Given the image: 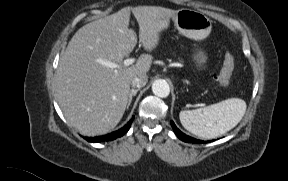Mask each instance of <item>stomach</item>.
<instances>
[{
  "mask_svg": "<svg viewBox=\"0 0 288 181\" xmlns=\"http://www.w3.org/2000/svg\"><path fill=\"white\" fill-rule=\"evenodd\" d=\"M170 19L174 21L176 28L181 34L196 41L208 37L212 29L211 20L203 13L192 9L183 8L178 10L173 16L161 17L162 29L168 26ZM193 61L197 67L201 68L207 62V55L205 52L198 50L193 55Z\"/></svg>",
  "mask_w": 288,
  "mask_h": 181,
  "instance_id": "obj_1",
  "label": "stomach"
}]
</instances>
